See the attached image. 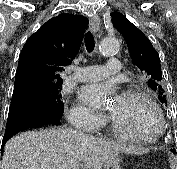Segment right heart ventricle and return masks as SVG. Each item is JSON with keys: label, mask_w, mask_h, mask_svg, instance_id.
<instances>
[{"label": "right heart ventricle", "mask_w": 177, "mask_h": 169, "mask_svg": "<svg viewBox=\"0 0 177 169\" xmlns=\"http://www.w3.org/2000/svg\"><path fill=\"white\" fill-rule=\"evenodd\" d=\"M112 134L114 135V136H121V135H119L118 133H116L113 129H112ZM145 142V141H144Z\"/></svg>", "instance_id": "obj_1"}]
</instances>
